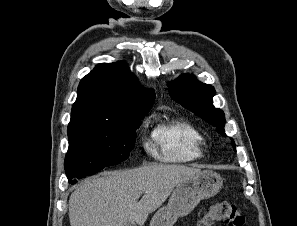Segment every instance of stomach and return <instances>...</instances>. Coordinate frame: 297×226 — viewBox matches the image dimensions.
Segmentation results:
<instances>
[{"label":"stomach","mask_w":297,"mask_h":226,"mask_svg":"<svg viewBox=\"0 0 297 226\" xmlns=\"http://www.w3.org/2000/svg\"><path fill=\"white\" fill-rule=\"evenodd\" d=\"M221 176L204 170L193 178L180 181L173 190L167 206L153 216L150 226H173L179 217L188 215L202 199L216 195L222 187Z\"/></svg>","instance_id":"1"}]
</instances>
